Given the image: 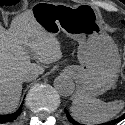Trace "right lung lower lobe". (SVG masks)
<instances>
[{
    "label": "right lung lower lobe",
    "instance_id": "98d812e1",
    "mask_svg": "<svg viewBox=\"0 0 125 125\" xmlns=\"http://www.w3.org/2000/svg\"><path fill=\"white\" fill-rule=\"evenodd\" d=\"M22 105H23V103L21 104L20 108L15 113L8 114V115H0V123H7V122H11V121L15 120L22 111V109H21Z\"/></svg>",
    "mask_w": 125,
    "mask_h": 125
}]
</instances>
